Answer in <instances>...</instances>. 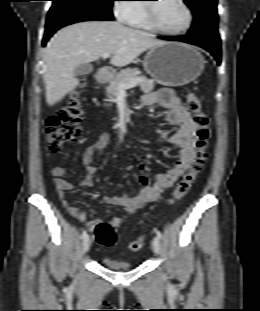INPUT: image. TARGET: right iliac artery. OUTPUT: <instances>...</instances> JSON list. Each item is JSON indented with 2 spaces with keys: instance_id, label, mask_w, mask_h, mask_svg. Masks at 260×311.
<instances>
[{
  "instance_id": "obj_1",
  "label": "right iliac artery",
  "mask_w": 260,
  "mask_h": 311,
  "mask_svg": "<svg viewBox=\"0 0 260 311\" xmlns=\"http://www.w3.org/2000/svg\"><path fill=\"white\" fill-rule=\"evenodd\" d=\"M87 236H88L87 231H86V230L83 231V232H82V235H81V238L84 239V238L87 237Z\"/></svg>"
}]
</instances>
